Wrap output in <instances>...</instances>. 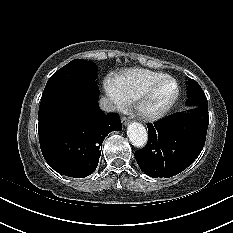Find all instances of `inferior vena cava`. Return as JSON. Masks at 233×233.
<instances>
[{"mask_svg": "<svg viewBox=\"0 0 233 233\" xmlns=\"http://www.w3.org/2000/svg\"><path fill=\"white\" fill-rule=\"evenodd\" d=\"M100 108L105 112H113L115 110V106L112 101H110L107 97H102L99 100Z\"/></svg>", "mask_w": 233, "mask_h": 233, "instance_id": "inferior-vena-cava-1", "label": "inferior vena cava"}]
</instances>
